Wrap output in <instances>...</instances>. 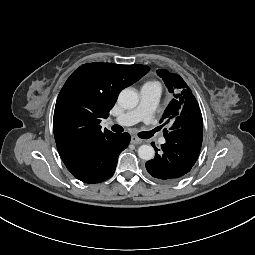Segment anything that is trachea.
I'll use <instances>...</instances> for the list:
<instances>
[{"instance_id": "1", "label": "trachea", "mask_w": 255, "mask_h": 255, "mask_svg": "<svg viewBox=\"0 0 255 255\" xmlns=\"http://www.w3.org/2000/svg\"><path fill=\"white\" fill-rule=\"evenodd\" d=\"M111 129H112V131L118 132V133H121L124 131V129L119 125H113L111 127ZM154 132H155L154 130L153 131H144V132L138 133V136L142 139H149L150 137L153 136Z\"/></svg>"}]
</instances>
